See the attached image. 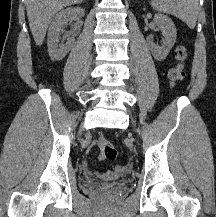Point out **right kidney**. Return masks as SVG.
<instances>
[{
    "instance_id": "right-kidney-1",
    "label": "right kidney",
    "mask_w": 216,
    "mask_h": 217,
    "mask_svg": "<svg viewBox=\"0 0 216 217\" xmlns=\"http://www.w3.org/2000/svg\"><path fill=\"white\" fill-rule=\"evenodd\" d=\"M84 9L80 7L67 8L60 11L53 18L49 30H48V51L51 59L59 61L62 60L67 53L71 50L72 45L75 41L74 38H69L66 44L58 45L60 40V33L63 31V26L67 25L68 22L74 20L77 16H84Z\"/></svg>"
}]
</instances>
